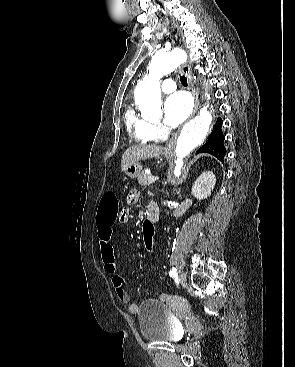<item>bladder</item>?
I'll use <instances>...</instances> for the list:
<instances>
[{
    "mask_svg": "<svg viewBox=\"0 0 295 367\" xmlns=\"http://www.w3.org/2000/svg\"><path fill=\"white\" fill-rule=\"evenodd\" d=\"M138 322L143 339L150 342H177L182 337L180 322L161 301L144 300L139 305Z\"/></svg>",
    "mask_w": 295,
    "mask_h": 367,
    "instance_id": "bladder-1",
    "label": "bladder"
}]
</instances>
